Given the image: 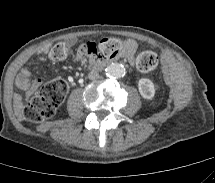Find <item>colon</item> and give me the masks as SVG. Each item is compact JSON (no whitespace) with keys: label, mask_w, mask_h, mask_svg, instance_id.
I'll return each mask as SVG.
<instances>
[{"label":"colon","mask_w":215,"mask_h":183,"mask_svg":"<svg viewBox=\"0 0 215 183\" xmlns=\"http://www.w3.org/2000/svg\"><path fill=\"white\" fill-rule=\"evenodd\" d=\"M123 44L116 38H103L98 42H88L81 50L89 56L99 59H111L123 52ZM67 43H56L50 50L49 56L53 61H62L71 55ZM136 64L141 72L148 73L157 67L158 58L152 51H142L138 54ZM68 91V84L63 79H55L44 84L38 93L30 98L19 109L23 120L40 123L51 118L63 102Z\"/></svg>","instance_id":"obj_1"}]
</instances>
